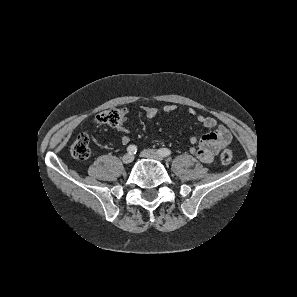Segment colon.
Returning a JSON list of instances; mask_svg holds the SVG:
<instances>
[{
  "instance_id": "5ec220e1",
  "label": "colon",
  "mask_w": 297,
  "mask_h": 297,
  "mask_svg": "<svg viewBox=\"0 0 297 297\" xmlns=\"http://www.w3.org/2000/svg\"><path fill=\"white\" fill-rule=\"evenodd\" d=\"M97 121L101 124L109 126H118L122 121L121 111L118 109L103 111L97 116ZM70 151L72 156L78 160L87 159L91 152L88 136L86 134L78 135L71 145ZM232 159L233 152L231 149H224L220 153V161L223 165L230 164Z\"/></svg>"
}]
</instances>
